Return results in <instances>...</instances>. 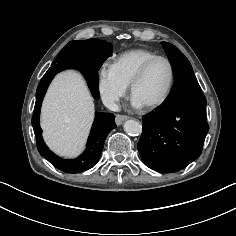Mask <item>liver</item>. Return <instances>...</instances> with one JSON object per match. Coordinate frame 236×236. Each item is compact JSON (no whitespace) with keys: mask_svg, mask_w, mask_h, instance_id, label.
<instances>
[{"mask_svg":"<svg viewBox=\"0 0 236 236\" xmlns=\"http://www.w3.org/2000/svg\"><path fill=\"white\" fill-rule=\"evenodd\" d=\"M94 120V103L83 77L75 71L58 74L41 110L43 137L51 150L72 158L84 149Z\"/></svg>","mask_w":236,"mask_h":236,"instance_id":"1","label":"liver"}]
</instances>
